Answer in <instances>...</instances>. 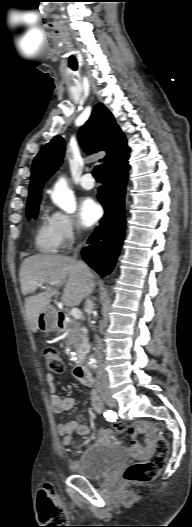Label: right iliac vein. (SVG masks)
<instances>
[{
  "instance_id": "obj_1",
  "label": "right iliac vein",
  "mask_w": 192,
  "mask_h": 527,
  "mask_svg": "<svg viewBox=\"0 0 192 527\" xmlns=\"http://www.w3.org/2000/svg\"><path fill=\"white\" fill-rule=\"evenodd\" d=\"M102 396V399L105 401V403L110 406V407H115L116 406V401L115 399L111 396V393L110 392H103L101 394Z\"/></svg>"
}]
</instances>
